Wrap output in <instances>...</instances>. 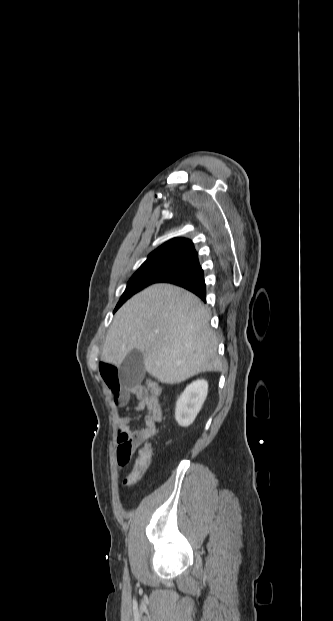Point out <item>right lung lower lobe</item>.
I'll list each match as a JSON object with an SVG mask.
<instances>
[{"mask_svg":"<svg viewBox=\"0 0 333 621\" xmlns=\"http://www.w3.org/2000/svg\"><path fill=\"white\" fill-rule=\"evenodd\" d=\"M160 282L181 286L205 301L206 286L204 272L199 264L197 254L187 259L172 273L162 277L157 283Z\"/></svg>","mask_w":333,"mask_h":621,"instance_id":"98d812e1","label":"right lung lower lobe"}]
</instances>
